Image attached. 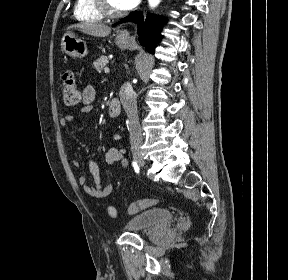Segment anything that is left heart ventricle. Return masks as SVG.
Instances as JSON below:
<instances>
[{
  "instance_id": "left-heart-ventricle-1",
  "label": "left heart ventricle",
  "mask_w": 288,
  "mask_h": 280,
  "mask_svg": "<svg viewBox=\"0 0 288 280\" xmlns=\"http://www.w3.org/2000/svg\"><path fill=\"white\" fill-rule=\"evenodd\" d=\"M108 2L113 9L119 10L117 3H116V0H108Z\"/></svg>"
}]
</instances>
